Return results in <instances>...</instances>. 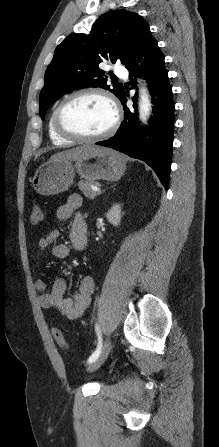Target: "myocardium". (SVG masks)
<instances>
[{
	"instance_id": "obj_1",
	"label": "myocardium",
	"mask_w": 219,
	"mask_h": 447,
	"mask_svg": "<svg viewBox=\"0 0 219 447\" xmlns=\"http://www.w3.org/2000/svg\"><path fill=\"white\" fill-rule=\"evenodd\" d=\"M84 95H97L104 100H106L109 105L111 106L113 110V121L111 125L102 133L97 135H84L75 131H72L65 127L62 121V113L65 109V107L72 102L74 99L84 96ZM121 119V112L120 108L115 101V99L112 97V95L102 89L99 88H84L77 90L71 94H69L66 98H64L59 105L56 107L53 115V124L56 132L73 141H80V142H95L99 140L106 139L110 136H112L115 131L117 130Z\"/></svg>"
}]
</instances>
